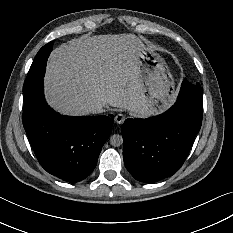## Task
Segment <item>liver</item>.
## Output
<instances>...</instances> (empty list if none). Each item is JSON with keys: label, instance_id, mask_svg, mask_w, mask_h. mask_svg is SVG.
<instances>
[{"label": "liver", "instance_id": "liver-1", "mask_svg": "<svg viewBox=\"0 0 233 233\" xmlns=\"http://www.w3.org/2000/svg\"><path fill=\"white\" fill-rule=\"evenodd\" d=\"M136 41L133 34L83 35L55 48L45 75L49 105L68 115H88L97 102L151 115L133 59Z\"/></svg>", "mask_w": 233, "mask_h": 233}]
</instances>
